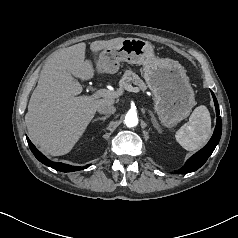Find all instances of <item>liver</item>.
I'll return each instance as SVG.
<instances>
[{
	"label": "liver",
	"instance_id": "obj_1",
	"mask_svg": "<svg viewBox=\"0 0 238 238\" xmlns=\"http://www.w3.org/2000/svg\"><path fill=\"white\" fill-rule=\"evenodd\" d=\"M124 40L94 41L93 53L112 48ZM86 44L55 52L43 67L28 104L25 122L29 136L42 151L52 156L67 154L83 135L100 105H113L114 98L78 96L82 86L73 76L90 80L94 69L85 60ZM98 62V60H97Z\"/></svg>",
	"mask_w": 238,
	"mask_h": 238
}]
</instances>
